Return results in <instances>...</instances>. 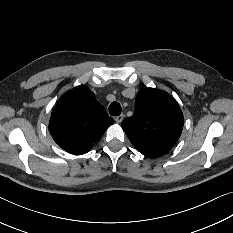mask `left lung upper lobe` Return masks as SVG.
<instances>
[{"mask_svg": "<svg viewBox=\"0 0 233 233\" xmlns=\"http://www.w3.org/2000/svg\"><path fill=\"white\" fill-rule=\"evenodd\" d=\"M131 143L147 157L166 153L179 139L183 114L176 100L162 90L145 88L135 101V113L122 122Z\"/></svg>", "mask_w": 233, "mask_h": 233, "instance_id": "obj_1", "label": "left lung upper lobe"}]
</instances>
